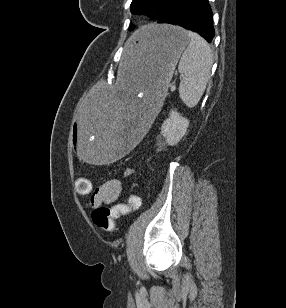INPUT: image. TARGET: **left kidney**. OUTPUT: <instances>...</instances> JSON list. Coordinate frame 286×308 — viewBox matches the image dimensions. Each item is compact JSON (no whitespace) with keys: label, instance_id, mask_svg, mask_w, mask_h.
Returning <instances> with one entry per match:
<instances>
[{"label":"left kidney","instance_id":"obj_1","mask_svg":"<svg viewBox=\"0 0 286 308\" xmlns=\"http://www.w3.org/2000/svg\"><path fill=\"white\" fill-rule=\"evenodd\" d=\"M189 126V120L184 118L176 110H172L169 118L161 126V134L168 145H176L185 135Z\"/></svg>","mask_w":286,"mask_h":308}]
</instances>
